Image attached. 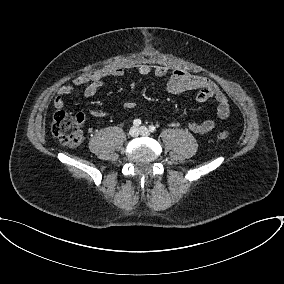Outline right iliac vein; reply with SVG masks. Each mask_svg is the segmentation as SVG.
Masks as SVG:
<instances>
[{"instance_id": "obj_1", "label": "right iliac vein", "mask_w": 284, "mask_h": 284, "mask_svg": "<svg viewBox=\"0 0 284 284\" xmlns=\"http://www.w3.org/2000/svg\"><path fill=\"white\" fill-rule=\"evenodd\" d=\"M129 134L132 136V137H137L139 135V130L137 127H131L130 131H129Z\"/></svg>"}]
</instances>
